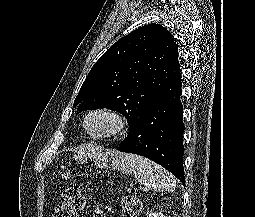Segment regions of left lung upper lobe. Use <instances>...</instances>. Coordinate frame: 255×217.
<instances>
[{
    "label": "left lung upper lobe",
    "instance_id": "left-lung-upper-lobe-1",
    "mask_svg": "<svg viewBox=\"0 0 255 217\" xmlns=\"http://www.w3.org/2000/svg\"><path fill=\"white\" fill-rule=\"evenodd\" d=\"M179 71L172 34L160 24H148L119 39L98 59L74 106L78 111L101 107L118 111L131 129Z\"/></svg>",
    "mask_w": 255,
    "mask_h": 217
}]
</instances>
